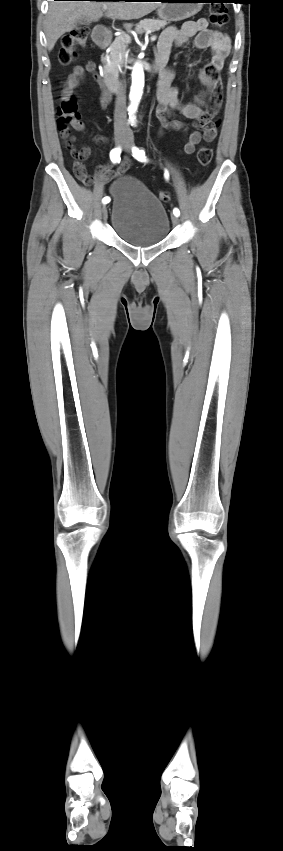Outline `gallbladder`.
Wrapping results in <instances>:
<instances>
[{
  "label": "gallbladder",
  "instance_id": "obj_1",
  "mask_svg": "<svg viewBox=\"0 0 283 851\" xmlns=\"http://www.w3.org/2000/svg\"><path fill=\"white\" fill-rule=\"evenodd\" d=\"M84 23H87V21L85 19H78L76 21V24H84Z\"/></svg>",
  "mask_w": 283,
  "mask_h": 851
}]
</instances>
